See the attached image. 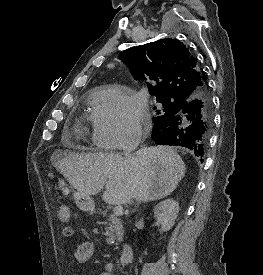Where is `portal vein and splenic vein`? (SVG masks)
<instances>
[{"label":"portal vein and splenic vein","mask_w":263,"mask_h":275,"mask_svg":"<svg viewBox=\"0 0 263 275\" xmlns=\"http://www.w3.org/2000/svg\"><path fill=\"white\" fill-rule=\"evenodd\" d=\"M123 211H124V209L121 205H118L113 209L115 216H121L123 214Z\"/></svg>","instance_id":"obj_1"}]
</instances>
